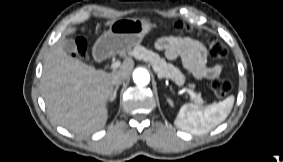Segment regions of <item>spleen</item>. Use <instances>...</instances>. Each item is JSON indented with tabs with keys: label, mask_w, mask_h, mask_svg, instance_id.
Here are the masks:
<instances>
[{
	"label": "spleen",
	"mask_w": 283,
	"mask_h": 162,
	"mask_svg": "<svg viewBox=\"0 0 283 162\" xmlns=\"http://www.w3.org/2000/svg\"><path fill=\"white\" fill-rule=\"evenodd\" d=\"M235 97L206 107L187 103L181 106L174 124L181 130L194 135L205 134L221 124L231 113Z\"/></svg>",
	"instance_id": "obj_1"
}]
</instances>
